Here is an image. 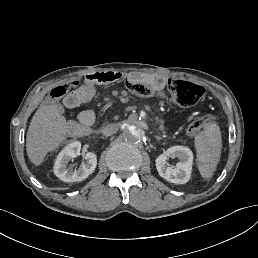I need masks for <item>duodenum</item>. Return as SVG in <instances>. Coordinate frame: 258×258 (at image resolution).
Wrapping results in <instances>:
<instances>
[{"label":"duodenum","instance_id":"duodenum-1","mask_svg":"<svg viewBox=\"0 0 258 258\" xmlns=\"http://www.w3.org/2000/svg\"><path fill=\"white\" fill-rule=\"evenodd\" d=\"M122 78L120 72H95L86 77V81L91 86L110 85Z\"/></svg>","mask_w":258,"mask_h":258}]
</instances>
